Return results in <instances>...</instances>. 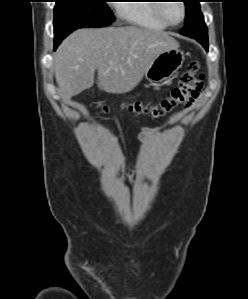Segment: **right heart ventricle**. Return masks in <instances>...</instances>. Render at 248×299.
<instances>
[{
  "label": "right heart ventricle",
  "instance_id": "1",
  "mask_svg": "<svg viewBox=\"0 0 248 299\" xmlns=\"http://www.w3.org/2000/svg\"><path fill=\"white\" fill-rule=\"evenodd\" d=\"M135 3H121L118 5V14L126 22L154 30H165V25L156 14L157 0H139Z\"/></svg>",
  "mask_w": 248,
  "mask_h": 299
}]
</instances>
